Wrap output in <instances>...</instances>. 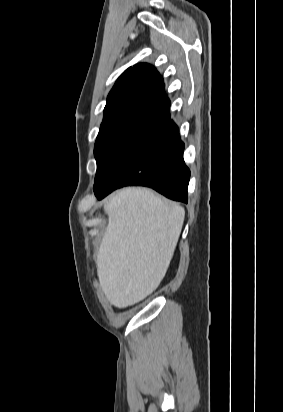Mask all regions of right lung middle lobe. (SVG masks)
Here are the masks:
<instances>
[{
  "label": "right lung middle lobe",
  "mask_w": 283,
  "mask_h": 412,
  "mask_svg": "<svg viewBox=\"0 0 283 412\" xmlns=\"http://www.w3.org/2000/svg\"><path fill=\"white\" fill-rule=\"evenodd\" d=\"M162 117L161 113L127 114L103 120L94 147L97 161L95 183Z\"/></svg>",
  "instance_id": "1"
}]
</instances>
